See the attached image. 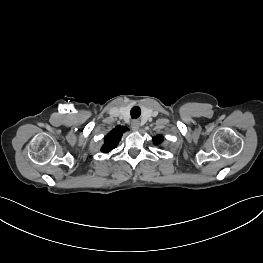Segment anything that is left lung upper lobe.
I'll use <instances>...</instances> for the list:
<instances>
[{
	"label": "left lung upper lobe",
	"instance_id": "left-lung-upper-lobe-1",
	"mask_svg": "<svg viewBox=\"0 0 263 263\" xmlns=\"http://www.w3.org/2000/svg\"><path fill=\"white\" fill-rule=\"evenodd\" d=\"M162 141H163V137L162 136H156L155 138H154V143L156 144V145H158V144H160V143H162Z\"/></svg>",
	"mask_w": 263,
	"mask_h": 263
}]
</instances>
